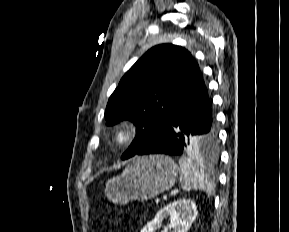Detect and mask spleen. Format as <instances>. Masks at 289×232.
<instances>
[{
    "mask_svg": "<svg viewBox=\"0 0 289 232\" xmlns=\"http://www.w3.org/2000/svg\"><path fill=\"white\" fill-rule=\"evenodd\" d=\"M179 165L181 170L180 183L184 190H202L208 196L212 194L214 187L199 163L191 158L182 157L179 159Z\"/></svg>",
    "mask_w": 289,
    "mask_h": 232,
    "instance_id": "3e777b00",
    "label": "spleen"
}]
</instances>
